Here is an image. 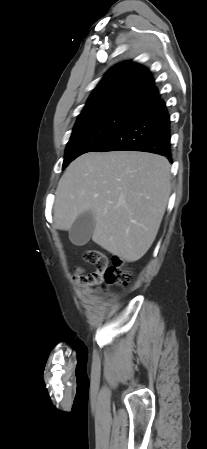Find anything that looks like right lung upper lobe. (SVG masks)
Listing matches in <instances>:
<instances>
[{"mask_svg":"<svg viewBox=\"0 0 207 449\" xmlns=\"http://www.w3.org/2000/svg\"><path fill=\"white\" fill-rule=\"evenodd\" d=\"M159 99L160 95L148 69L125 61L105 74L79 117L110 110L136 113Z\"/></svg>","mask_w":207,"mask_h":449,"instance_id":"cb5924a9","label":"right lung upper lobe"}]
</instances>
